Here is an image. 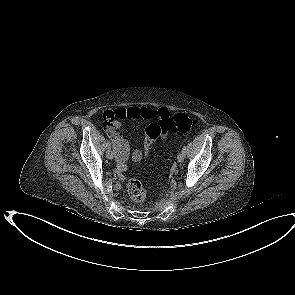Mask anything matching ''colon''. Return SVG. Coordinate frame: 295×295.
I'll use <instances>...</instances> for the list:
<instances>
[{
	"label": "colon",
	"instance_id": "5ec220e1",
	"mask_svg": "<svg viewBox=\"0 0 295 295\" xmlns=\"http://www.w3.org/2000/svg\"><path fill=\"white\" fill-rule=\"evenodd\" d=\"M115 113V112H114ZM196 125V120L187 114L179 113L174 116H168L162 121L151 123L146 131L152 138L167 133H186ZM127 191L134 202H143L146 199V192L141 182L137 179H130L127 184Z\"/></svg>",
	"mask_w": 295,
	"mask_h": 295
}]
</instances>
